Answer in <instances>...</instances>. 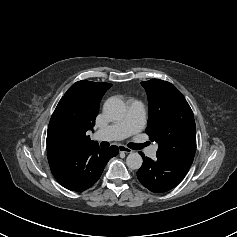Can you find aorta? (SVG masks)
Here are the masks:
<instances>
[{"mask_svg": "<svg viewBox=\"0 0 237 237\" xmlns=\"http://www.w3.org/2000/svg\"><path fill=\"white\" fill-rule=\"evenodd\" d=\"M103 111L107 116L112 119L119 120L126 115V105L118 97H110L104 103ZM143 163L142 157L136 152L130 153L126 158V164L130 169L138 170L141 168Z\"/></svg>", "mask_w": 237, "mask_h": 237, "instance_id": "obj_1", "label": "aorta"}]
</instances>
